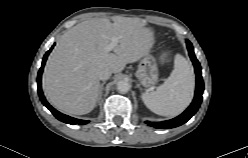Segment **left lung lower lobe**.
I'll use <instances>...</instances> for the list:
<instances>
[{"mask_svg":"<svg viewBox=\"0 0 248 158\" xmlns=\"http://www.w3.org/2000/svg\"><path fill=\"white\" fill-rule=\"evenodd\" d=\"M186 44L188 47L190 58L194 64L195 73H196V91H195L194 100L192 104L178 117L168 120V121L159 122V123L146 121V123L149 126L159 128V129L160 128H174V127L180 126L186 123L196 113V111L200 107V104L202 101V93L204 90L203 79L201 76V66L194 55V50H193L191 42L189 40H186Z\"/></svg>","mask_w":248,"mask_h":158,"instance_id":"obj_1","label":"left lung lower lobe"}]
</instances>
